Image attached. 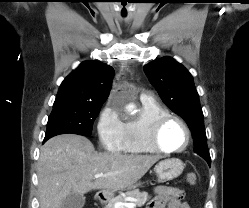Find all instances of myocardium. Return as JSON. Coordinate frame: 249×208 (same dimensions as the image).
Here are the masks:
<instances>
[{"mask_svg": "<svg viewBox=\"0 0 249 208\" xmlns=\"http://www.w3.org/2000/svg\"><path fill=\"white\" fill-rule=\"evenodd\" d=\"M170 121H177L184 128L186 133V141L181 148L178 149H166L162 147L160 143V134L166 124ZM148 146L155 153H164V154H175L181 153L187 149L191 142V130L188 124L179 116L173 114H165L157 118L150 127L147 136Z\"/></svg>", "mask_w": 249, "mask_h": 208, "instance_id": "1", "label": "myocardium"}]
</instances>
